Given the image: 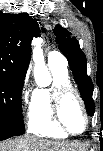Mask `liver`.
<instances>
[{
    "mask_svg": "<svg viewBox=\"0 0 103 151\" xmlns=\"http://www.w3.org/2000/svg\"><path fill=\"white\" fill-rule=\"evenodd\" d=\"M78 145L69 142L51 141L25 135L16 140L2 143L0 151H81Z\"/></svg>",
    "mask_w": 103,
    "mask_h": 151,
    "instance_id": "1",
    "label": "liver"
}]
</instances>
